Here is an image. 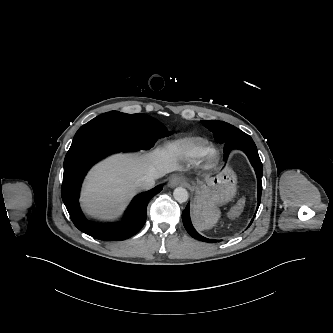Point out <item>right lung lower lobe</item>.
<instances>
[{
	"mask_svg": "<svg viewBox=\"0 0 333 333\" xmlns=\"http://www.w3.org/2000/svg\"><path fill=\"white\" fill-rule=\"evenodd\" d=\"M138 150L134 145L104 133H92L73 140L64 160L62 199L74 225L83 233L99 240H125L140 231L146 221L150 199L161 191L156 186L137 195L119 224L99 225L88 221L79 207L81 182L90 166L99 159L117 151Z\"/></svg>",
	"mask_w": 333,
	"mask_h": 333,
	"instance_id": "obj_1",
	"label": "right lung lower lobe"
}]
</instances>
